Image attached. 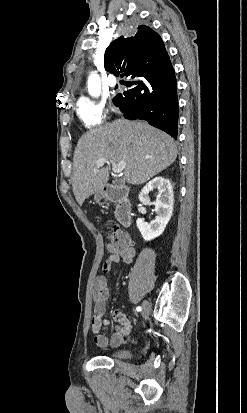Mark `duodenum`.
Returning a JSON list of instances; mask_svg holds the SVG:
<instances>
[{
  "label": "duodenum",
  "mask_w": 247,
  "mask_h": 413,
  "mask_svg": "<svg viewBox=\"0 0 247 413\" xmlns=\"http://www.w3.org/2000/svg\"><path fill=\"white\" fill-rule=\"evenodd\" d=\"M103 191L107 201L116 203L115 215L118 222L125 227L131 225V202L126 189L106 185Z\"/></svg>",
  "instance_id": "obj_1"
}]
</instances>
